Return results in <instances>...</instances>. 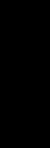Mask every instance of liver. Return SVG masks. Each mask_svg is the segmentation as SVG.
Here are the masks:
<instances>
[{
    "label": "liver",
    "mask_w": 50,
    "mask_h": 148,
    "mask_svg": "<svg viewBox=\"0 0 50 148\" xmlns=\"http://www.w3.org/2000/svg\"><path fill=\"white\" fill-rule=\"evenodd\" d=\"M29 1H12L8 4V14L15 20V25L11 31L7 33L4 38H9L16 33L18 26L26 22L31 15L33 7L28 3Z\"/></svg>",
    "instance_id": "6515ba94"
}]
</instances>
